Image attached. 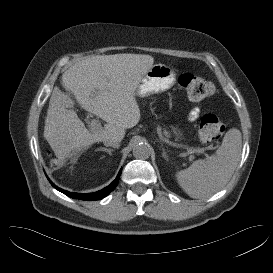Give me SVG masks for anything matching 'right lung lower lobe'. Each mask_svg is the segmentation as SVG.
<instances>
[{"mask_svg": "<svg viewBox=\"0 0 273 273\" xmlns=\"http://www.w3.org/2000/svg\"><path fill=\"white\" fill-rule=\"evenodd\" d=\"M119 176H120V172L117 175L116 179L107 187H105L104 189L94 192V193H88V194H81V193H74V192H68L66 190H63L61 188H58L57 186H55L51 181L50 183L52 184L53 187H55L58 191L64 193L65 195L74 198V199H80V200H87V201H92V200H99L102 199L104 197H106L107 195H109L110 192H112L114 190V188L117 186L118 181H119Z\"/></svg>", "mask_w": 273, "mask_h": 273, "instance_id": "98d812e1", "label": "right lung lower lobe"}]
</instances>
